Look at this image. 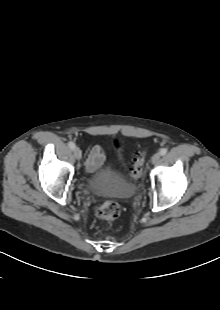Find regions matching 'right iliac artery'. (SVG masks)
Masks as SVG:
<instances>
[{
  "label": "right iliac artery",
  "instance_id": "obj_1",
  "mask_svg": "<svg viewBox=\"0 0 220 310\" xmlns=\"http://www.w3.org/2000/svg\"><path fill=\"white\" fill-rule=\"evenodd\" d=\"M68 146H69L70 149H74V148H75V143L72 142V141H70V142L68 143Z\"/></svg>",
  "mask_w": 220,
  "mask_h": 310
}]
</instances>
